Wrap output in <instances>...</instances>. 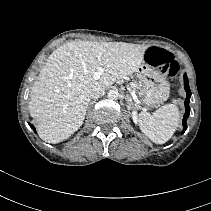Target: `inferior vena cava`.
<instances>
[{
    "mask_svg": "<svg viewBox=\"0 0 211 211\" xmlns=\"http://www.w3.org/2000/svg\"><path fill=\"white\" fill-rule=\"evenodd\" d=\"M104 93V91L102 90H97L96 92H94L91 96V99H98L100 96H102Z\"/></svg>",
    "mask_w": 211,
    "mask_h": 211,
    "instance_id": "inferior-vena-cava-1",
    "label": "inferior vena cava"
}]
</instances>
